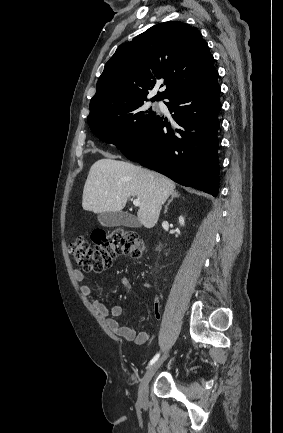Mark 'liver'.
I'll use <instances>...</instances> for the list:
<instances>
[{
  "instance_id": "liver-1",
  "label": "liver",
  "mask_w": 283,
  "mask_h": 433,
  "mask_svg": "<svg viewBox=\"0 0 283 433\" xmlns=\"http://www.w3.org/2000/svg\"><path fill=\"white\" fill-rule=\"evenodd\" d=\"M174 188L175 182L159 172L124 160L101 158L89 170L83 188L82 206L93 212H119L129 196H137L141 200L138 221L146 229H152L159 219L162 204Z\"/></svg>"
}]
</instances>
